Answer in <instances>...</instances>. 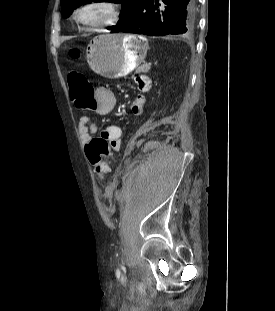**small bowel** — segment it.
Returning a JSON list of instances; mask_svg holds the SVG:
<instances>
[{
	"label": "small bowel",
	"instance_id": "obj_1",
	"mask_svg": "<svg viewBox=\"0 0 275 311\" xmlns=\"http://www.w3.org/2000/svg\"><path fill=\"white\" fill-rule=\"evenodd\" d=\"M141 79L145 78L144 74L140 75ZM155 87V80H138L136 87V98L131 106L134 114H141L144 111L143 93H152ZM116 100L112 92L104 87L96 90L95 98L91 105H84V112H95L96 114L105 115L113 111ZM79 135L83 142H88L90 138L99 130L98 125L89 117L82 116L79 121ZM101 135L105 136L112 147L118 150L121 146V128L117 125H107L101 130Z\"/></svg>",
	"mask_w": 275,
	"mask_h": 311
}]
</instances>
